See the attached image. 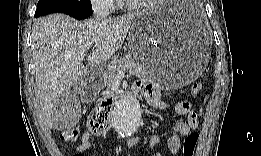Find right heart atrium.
Returning a JSON list of instances; mask_svg holds the SVG:
<instances>
[{"label":"right heart atrium","mask_w":261,"mask_h":156,"mask_svg":"<svg viewBox=\"0 0 261 156\" xmlns=\"http://www.w3.org/2000/svg\"><path fill=\"white\" fill-rule=\"evenodd\" d=\"M95 5L103 10H113L115 2L112 0H104L96 2Z\"/></svg>","instance_id":"obj_1"}]
</instances>
